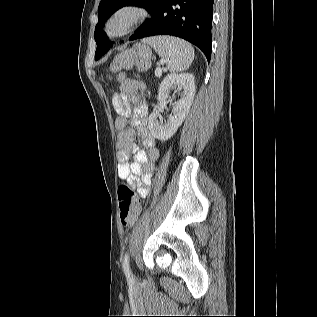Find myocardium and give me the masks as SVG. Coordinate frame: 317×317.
Wrapping results in <instances>:
<instances>
[{"label":"myocardium","mask_w":317,"mask_h":317,"mask_svg":"<svg viewBox=\"0 0 317 317\" xmlns=\"http://www.w3.org/2000/svg\"><path fill=\"white\" fill-rule=\"evenodd\" d=\"M147 15V11L138 5H121L108 16L104 32L109 39L124 37L137 29L145 21Z\"/></svg>","instance_id":"obj_1"}]
</instances>
